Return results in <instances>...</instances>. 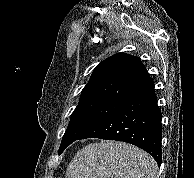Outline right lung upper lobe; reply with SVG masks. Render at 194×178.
Segmentation results:
<instances>
[{
  "mask_svg": "<svg viewBox=\"0 0 194 178\" xmlns=\"http://www.w3.org/2000/svg\"><path fill=\"white\" fill-rule=\"evenodd\" d=\"M153 91L154 81L141 59L117 53L94 69L80 100L110 99L125 103Z\"/></svg>",
  "mask_w": 194,
  "mask_h": 178,
  "instance_id": "obj_1",
  "label": "right lung upper lobe"
}]
</instances>
